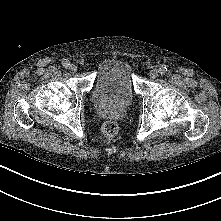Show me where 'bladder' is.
Masks as SVG:
<instances>
[{"instance_id":"31cf9c89","label":"bladder","mask_w":221,"mask_h":221,"mask_svg":"<svg viewBox=\"0 0 221 221\" xmlns=\"http://www.w3.org/2000/svg\"><path fill=\"white\" fill-rule=\"evenodd\" d=\"M134 67L120 57L105 58L97 73L91 98L96 106L127 107L135 99Z\"/></svg>"}]
</instances>
